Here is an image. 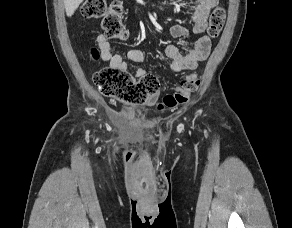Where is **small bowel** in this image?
<instances>
[{
	"label": "small bowel",
	"mask_w": 292,
	"mask_h": 228,
	"mask_svg": "<svg viewBox=\"0 0 292 228\" xmlns=\"http://www.w3.org/2000/svg\"><path fill=\"white\" fill-rule=\"evenodd\" d=\"M218 0H195L190 6L191 13V32L195 35L190 50L183 53L173 44H168L164 48L165 55L171 59L170 69L173 73L188 71L195 69L198 64L207 59L211 50V40L205 34L207 28V19L210 12L217 5ZM189 29L181 25H175L170 28L172 37L178 38L189 34ZM97 44L101 51V57L109 63L112 68L127 70L128 65L121 55L111 52V44L109 38L105 34H100L97 37ZM128 59L132 63L140 64L145 60V53L142 50L134 49L128 53ZM147 74L145 68H139L136 73V78H141ZM157 95L147 99V105H154Z\"/></svg>",
	"instance_id": "c3829d8e"
}]
</instances>
